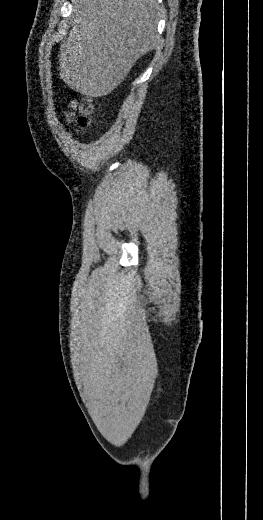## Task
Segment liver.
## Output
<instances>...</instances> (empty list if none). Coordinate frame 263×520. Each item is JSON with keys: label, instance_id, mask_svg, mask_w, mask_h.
<instances>
[{"label": "liver", "instance_id": "liver-1", "mask_svg": "<svg viewBox=\"0 0 263 520\" xmlns=\"http://www.w3.org/2000/svg\"><path fill=\"white\" fill-rule=\"evenodd\" d=\"M160 10L157 0H74L60 78L83 95H108L157 45Z\"/></svg>", "mask_w": 263, "mask_h": 520}]
</instances>
